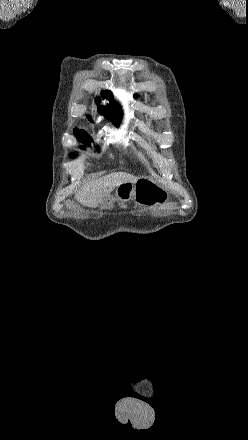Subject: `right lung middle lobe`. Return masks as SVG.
Instances as JSON below:
<instances>
[{
  "instance_id": "right-lung-middle-lobe-1",
  "label": "right lung middle lobe",
  "mask_w": 248,
  "mask_h": 440,
  "mask_svg": "<svg viewBox=\"0 0 248 440\" xmlns=\"http://www.w3.org/2000/svg\"><path fill=\"white\" fill-rule=\"evenodd\" d=\"M91 141H92L91 137H90V136H87V137L85 138L84 142H82V143H84V144H86V145H90Z\"/></svg>"
}]
</instances>
